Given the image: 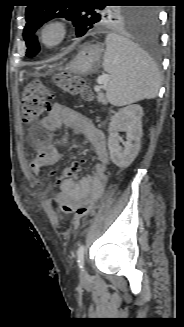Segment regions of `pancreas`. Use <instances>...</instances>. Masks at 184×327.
Masks as SVG:
<instances>
[{"label": "pancreas", "mask_w": 184, "mask_h": 327, "mask_svg": "<svg viewBox=\"0 0 184 327\" xmlns=\"http://www.w3.org/2000/svg\"><path fill=\"white\" fill-rule=\"evenodd\" d=\"M97 100L101 102L102 104H107V100L105 98V95L103 93L97 94Z\"/></svg>", "instance_id": "pancreas-1"}]
</instances>
